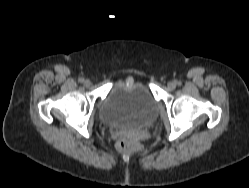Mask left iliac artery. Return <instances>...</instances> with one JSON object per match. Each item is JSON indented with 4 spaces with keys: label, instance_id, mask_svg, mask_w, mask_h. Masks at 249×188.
Returning a JSON list of instances; mask_svg holds the SVG:
<instances>
[{
    "label": "left iliac artery",
    "instance_id": "left-iliac-artery-1",
    "mask_svg": "<svg viewBox=\"0 0 249 188\" xmlns=\"http://www.w3.org/2000/svg\"><path fill=\"white\" fill-rule=\"evenodd\" d=\"M176 84H177V85H180V84H181V82H177Z\"/></svg>",
    "mask_w": 249,
    "mask_h": 188
}]
</instances>
